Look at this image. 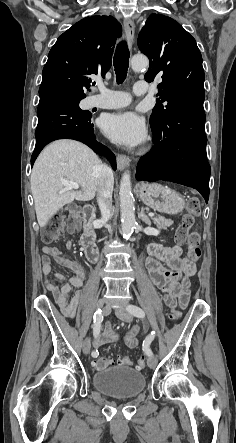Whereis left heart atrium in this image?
Instances as JSON below:
<instances>
[{"label": "left heart atrium", "instance_id": "left-heart-atrium-1", "mask_svg": "<svg viewBox=\"0 0 236 443\" xmlns=\"http://www.w3.org/2000/svg\"><path fill=\"white\" fill-rule=\"evenodd\" d=\"M103 129L109 138L128 146L142 144L147 136L144 120L131 111L109 115L104 120Z\"/></svg>", "mask_w": 236, "mask_h": 443}]
</instances>
